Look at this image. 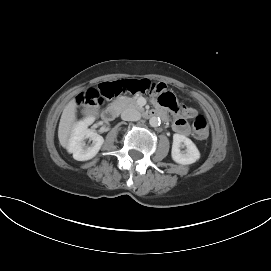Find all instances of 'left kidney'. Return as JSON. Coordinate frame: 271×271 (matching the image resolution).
<instances>
[{
    "instance_id": "left-kidney-1",
    "label": "left kidney",
    "mask_w": 271,
    "mask_h": 271,
    "mask_svg": "<svg viewBox=\"0 0 271 271\" xmlns=\"http://www.w3.org/2000/svg\"><path fill=\"white\" fill-rule=\"evenodd\" d=\"M185 146V152L180 150V147ZM172 159L182 165L195 163L200 158V152L191 139L184 135L174 134L171 151Z\"/></svg>"
}]
</instances>
